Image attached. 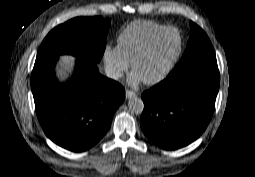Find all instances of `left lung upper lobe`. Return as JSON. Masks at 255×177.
<instances>
[{
    "instance_id": "1",
    "label": "left lung upper lobe",
    "mask_w": 255,
    "mask_h": 177,
    "mask_svg": "<svg viewBox=\"0 0 255 177\" xmlns=\"http://www.w3.org/2000/svg\"><path fill=\"white\" fill-rule=\"evenodd\" d=\"M191 36L180 62L168 75H175L182 70L206 63H217L213 46L206 33L194 22H190Z\"/></svg>"
}]
</instances>
